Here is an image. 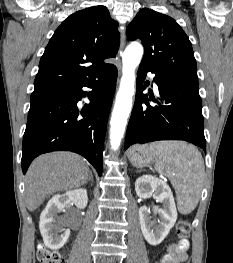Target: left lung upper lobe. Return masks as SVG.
Wrapping results in <instances>:
<instances>
[{
  "mask_svg": "<svg viewBox=\"0 0 233 263\" xmlns=\"http://www.w3.org/2000/svg\"><path fill=\"white\" fill-rule=\"evenodd\" d=\"M129 40L141 39V65L180 78L197 80L191 42L174 19L152 9H141L127 28Z\"/></svg>",
  "mask_w": 233,
  "mask_h": 263,
  "instance_id": "1",
  "label": "left lung upper lobe"
}]
</instances>
